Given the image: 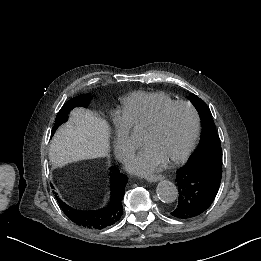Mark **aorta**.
<instances>
[{
	"label": "aorta",
	"mask_w": 261,
	"mask_h": 261,
	"mask_svg": "<svg viewBox=\"0 0 261 261\" xmlns=\"http://www.w3.org/2000/svg\"><path fill=\"white\" fill-rule=\"evenodd\" d=\"M158 198L163 203H173L178 197V189L174 183L164 180L158 183L156 188Z\"/></svg>",
	"instance_id": "obj_1"
}]
</instances>
